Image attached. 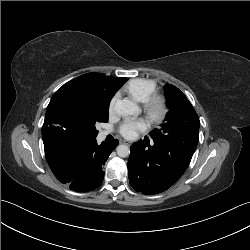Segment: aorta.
Here are the masks:
<instances>
[{"mask_svg":"<svg viewBox=\"0 0 250 250\" xmlns=\"http://www.w3.org/2000/svg\"><path fill=\"white\" fill-rule=\"evenodd\" d=\"M115 110L121 115H133L140 112L139 107L132 101L123 99L115 104ZM119 157L125 158L130 154V148L127 145H119L116 149Z\"/></svg>","mask_w":250,"mask_h":250,"instance_id":"762f6f07","label":"aorta"}]
</instances>
